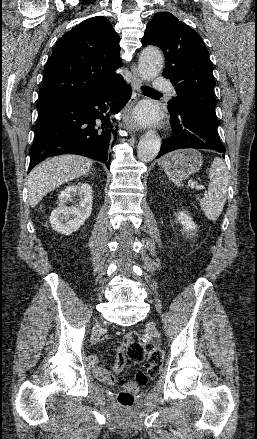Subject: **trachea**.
Here are the masks:
<instances>
[{
    "instance_id": "obj_1",
    "label": "trachea",
    "mask_w": 257,
    "mask_h": 439,
    "mask_svg": "<svg viewBox=\"0 0 257 439\" xmlns=\"http://www.w3.org/2000/svg\"><path fill=\"white\" fill-rule=\"evenodd\" d=\"M141 89L143 92L158 93V92L154 91L152 88L147 87V86H142Z\"/></svg>"
}]
</instances>
